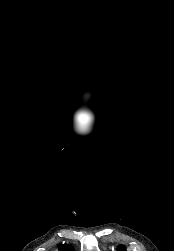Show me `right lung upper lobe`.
<instances>
[{
    "instance_id": "obj_1",
    "label": "right lung upper lobe",
    "mask_w": 174,
    "mask_h": 251,
    "mask_svg": "<svg viewBox=\"0 0 174 251\" xmlns=\"http://www.w3.org/2000/svg\"><path fill=\"white\" fill-rule=\"evenodd\" d=\"M58 247H59L60 251H74V249L72 248L71 245H67V244L62 245V244H60Z\"/></svg>"
}]
</instances>
